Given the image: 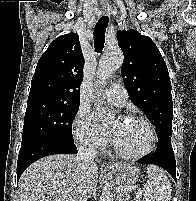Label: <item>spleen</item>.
Returning a JSON list of instances; mask_svg holds the SVG:
<instances>
[{
    "instance_id": "obj_1",
    "label": "spleen",
    "mask_w": 196,
    "mask_h": 201,
    "mask_svg": "<svg viewBox=\"0 0 196 201\" xmlns=\"http://www.w3.org/2000/svg\"><path fill=\"white\" fill-rule=\"evenodd\" d=\"M148 180L143 188V201H170L171 185L165 172L154 165L147 167Z\"/></svg>"
}]
</instances>
